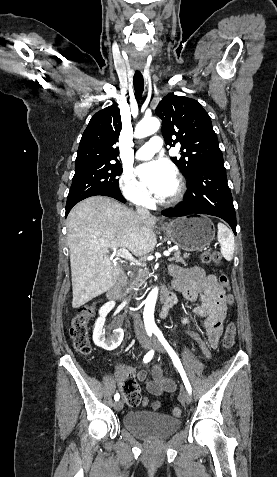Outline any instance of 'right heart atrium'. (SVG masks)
<instances>
[{
  "label": "right heart atrium",
  "instance_id": "obj_1",
  "mask_svg": "<svg viewBox=\"0 0 277 477\" xmlns=\"http://www.w3.org/2000/svg\"><path fill=\"white\" fill-rule=\"evenodd\" d=\"M120 189L127 201L137 206H148L151 197L148 191L135 179L131 171L125 170L120 177Z\"/></svg>",
  "mask_w": 277,
  "mask_h": 477
}]
</instances>
